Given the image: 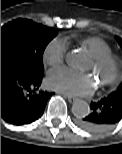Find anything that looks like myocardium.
<instances>
[{
	"instance_id": "1",
	"label": "myocardium",
	"mask_w": 122,
	"mask_h": 154,
	"mask_svg": "<svg viewBox=\"0 0 122 154\" xmlns=\"http://www.w3.org/2000/svg\"><path fill=\"white\" fill-rule=\"evenodd\" d=\"M92 71L100 77L101 87H109L115 84L121 73L122 62L119 57L108 54L98 58H92Z\"/></svg>"
}]
</instances>
